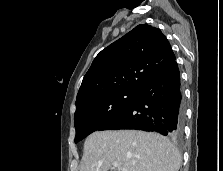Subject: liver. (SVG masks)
Returning a JSON list of instances; mask_svg holds the SVG:
<instances>
[{"instance_id": "6515ba94", "label": "liver", "mask_w": 223, "mask_h": 171, "mask_svg": "<svg viewBox=\"0 0 223 171\" xmlns=\"http://www.w3.org/2000/svg\"><path fill=\"white\" fill-rule=\"evenodd\" d=\"M182 158L172 142L138 130L96 131L84 143L80 171H178ZM119 171V169H118Z\"/></svg>"}]
</instances>
